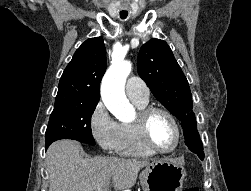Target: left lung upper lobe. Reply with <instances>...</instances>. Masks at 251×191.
<instances>
[{"label": "left lung upper lobe", "mask_w": 251, "mask_h": 191, "mask_svg": "<svg viewBox=\"0 0 251 191\" xmlns=\"http://www.w3.org/2000/svg\"><path fill=\"white\" fill-rule=\"evenodd\" d=\"M137 70L156 99L181 121L188 149L203 160V145L192 111L189 84L168 44L160 39H151L142 45Z\"/></svg>", "instance_id": "obj_1"}]
</instances>
